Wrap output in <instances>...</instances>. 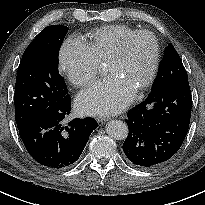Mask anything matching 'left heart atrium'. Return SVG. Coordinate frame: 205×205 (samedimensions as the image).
<instances>
[{
  "instance_id": "1",
  "label": "left heart atrium",
  "mask_w": 205,
  "mask_h": 205,
  "mask_svg": "<svg viewBox=\"0 0 205 205\" xmlns=\"http://www.w3.org/2000/svg\"><path fill=\"white\" fill-rule=\"evenodd\" d=\"M135 90L117 76H109L81 92L76 108L82 114H112L124 109L134 98Z\"/></svg>"
}]
</instances>
